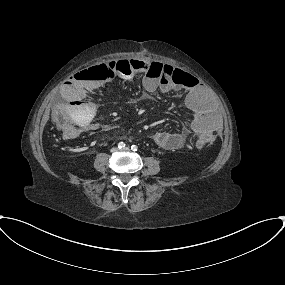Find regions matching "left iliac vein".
Returning a JSON list of instances; mask_svg holds the SVG:
<instances>
[{
    "instance_id": "left-iliac-vein-1",
    "label": "left iliac vein",
    "mask_w": 285,
    "mask_h": 285,
    "mask_svg": "<svg viewBox=\"0 0 285 285\" xmlns=\"http://www.w3.org/2000/svg\"><path fill=\"white\" fill-rule=\"evenodd\" d=\"M123 151H129V148H128V147H126V148H124V149H123Z\"/></svg>"
}]
</instances>
